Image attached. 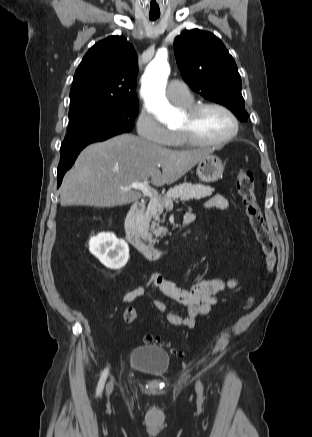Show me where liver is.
<instances>
[{"label":"liver","mask_w":312,"mask_h":437,"mask_svg":"<svg viewBox=\"0 0 312 437\" xmlns=\"http://www.w3.org/2000/svg\"><path fill=\"white\" fill-rule=\"evenodd\" d=\"M210 153V149L172 150L132 134L90 144L64 176L60 203L103 208L130 204L141 193L122 187L149 178L154 186L172 184Z\"/></svg>","instance_id":"6515ba94"}]
</instances>
